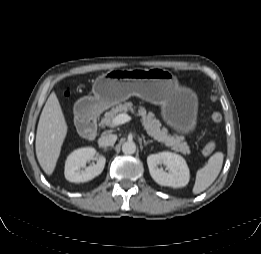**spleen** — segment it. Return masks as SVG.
Here are the masks:
<instances>
[{
	"label": "spleen",
	"instance_id": "spleen-1",
	"mask_svg": "<svg viewBox=\"0 0 261 254\" xmlns=\"http://www.w3.org/2000/svg\"><path fill=\"white\" fill-rule=\"evenodd\" d=\"M223 158L222 152H216L208 159L205 166L197 171L193 194H199L212 185L221 171Z\"/></svg>",
	"mask_w": 261,
	"mask_h": 254
}]
</instances>
